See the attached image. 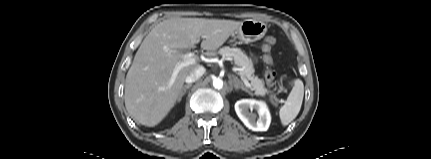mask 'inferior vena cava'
<instances>
[{"label":"inferior vena cava","instance_id":"inferior-vena-cava-1","mask_svg":"<svg viewBox=\"0 0 431 159\" xmlns=\"http://www.w3.org/2000/svg\"><path fill=\"white\" fill-rule=\"evenodd\" d=\"M205 71L206 69L203 66H199L189 75H187V77L185 78V82L190 84L197 81L205 73Z\"/></svg>","mask_w":431,"mask_h":159}]
</instances>
